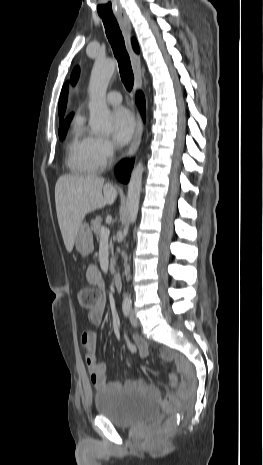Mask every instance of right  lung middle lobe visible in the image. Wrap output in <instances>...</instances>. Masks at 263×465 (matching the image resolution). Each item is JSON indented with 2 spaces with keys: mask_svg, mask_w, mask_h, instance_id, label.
<instances>
[{
  "mask_svg": "<svg viewBox=\"0 0 263 465\" xmlns=\"http://www.w3.org/2000/svg\"><path fill=\"white\" fill-rule=\"evenodd\" d=\"M71 118L60 121V127H59V137L63 139L65 137L66 131L68 129V126L70 124Z\"/></svg>",
  "mask_w": 263,
  "mask_h": 465,
  "instance_id": "1",
  "label": "right lung middle lobe"
}]
</instances>
